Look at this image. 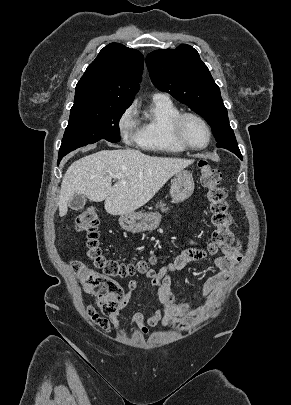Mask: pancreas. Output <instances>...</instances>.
<instances>
[{
  "label": "pancreas",
  "instance_id": "obj_1",
  "mask_svg": "<svg viewBox=\"0 0 291 405\" xmlns=\"http://www.w3.org/2000/svg\"><path fill=\"white\" fill-rule=\"evenodd\" d=\"M157 207H159L161 209V211H163V212L168 211V208H165V204H163L162 202L158 203Z\"/></svg>",
  "mask_w": 291,
  "mask_h": 405
}]
</instances>
